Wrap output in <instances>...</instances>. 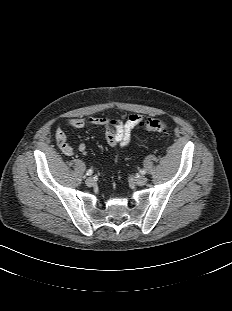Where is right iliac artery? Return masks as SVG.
Instances as JSON below:
<instances>
[{
	"label": "right iliac artery",
	"mask_w": 232,
	"mask_h": 311,
	"mask_svg": "<svg viewBox=\"0 0 232 311\" xmlns=\"http://www.w3.org/2000/svg\"><path fill=\"white\" fill-rule=\"evenodd\" d=\"M93 174V170L92 169H89L88 171H87V173H86V175H88V176H91Z\"/></svg>",
	"instance_id": "obj_1"
}]
</instances>
